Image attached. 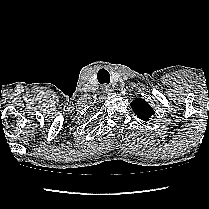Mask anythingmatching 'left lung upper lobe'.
<instances>
[{
    "instance_id": "left-lung-upper-lobe-1",
    "label": "left lung upper lobe",
    "mask_w": 209,
    "mask_h": 209,
    "mask_svg": "<svg viewBox=\"0 0 209 209\" xmlns=\"http://www.w3.org/2000/svg\"><path fill=\"white\" fill-rule=\"evenodd\" d=\"M131 107L137 117L143 121H148L155 113L153 108L142 98L133 100Z\"/></svg>"
}]
</instances>
